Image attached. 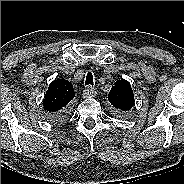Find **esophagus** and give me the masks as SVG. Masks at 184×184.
Instances as JSON below:
<instances>
[{
  "label": "esophagus",
  "instance_id": "1",
  "mask_svg": "<svg viewBox=\"0 0 184 184\" xmlns=\"http://www.w3.org/2000/svg\"><path fill=\"white\" fill-rule=\"evenodd\" d=\"M83 96H84V98L95 97L96 91L91 86H88V87H86V89H84Z\"/></svg>",
  "mask_w": 184,
  "mask_h": 184
}]
</instances>
